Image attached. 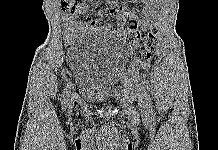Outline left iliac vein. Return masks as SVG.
Wrapping results in <instances>:
<instances>
[{"mask_svg":"<svg viewBox=\"0 0 218 150\" xmlns=\"http://www.w3.org/2000/svg\"><path fill=\"white\" fill-rule=\"evenodd\" d=\"M137 101H138V106H139V109H140L141 113L144 116H147L148 115V108H147V105H146V101L144 100V97L139 94L137 96Z\"/></svg>","mask_w":218,"mask_h":150,"instance_id":"obj_1","label":"left iliac vein"}]
</instances>
